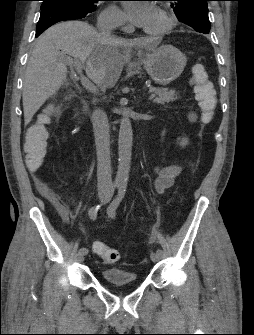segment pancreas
Listing matches in <instances>:
<instances>
[{
    "label": "pancreas",
    "mask_w": 254,
    "mask_h": 335,
    "mask_svg": "<svg viewBox=\"0 0 254 335\" xmlns=\"http://www.w3.org/2000/svg\"><path fill=\"white\" fill-rule=\"evenodd\" d=\"M150 92L155 93L157 97L154 102L157 104H165L177 100V93L174 90L168 88H152Z\"/></svg>",
    "instance_id": "obj_1"
}]
</instances>
